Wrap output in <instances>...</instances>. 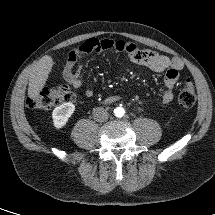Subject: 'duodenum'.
Wrapping results in <instances>:
<instances>
[{
    "mask_svg": "<svg viewBox=\"0 0 215 215\" xmlns=\"http://www.w3.org/2000/svg\"><path fill=\"white\" fill-rule=\"evenodd\" d=\"M119 99H120V97H118V96L111 97L106 100V103H112V102L118 101Z\"/></svg>",
    "mask_w": 215,
    "mask_h": 215,
    "instance_id": "duodenum-1",
    "label": "duodenum"
}]
</instances>
